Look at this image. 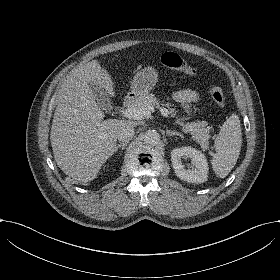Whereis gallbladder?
I'll return each mask as SVG.
<instances>
[{
	"instance_id": "gallbladder-1",
	"label": "gallbladder",
	"mask_w": 280,
	"mask_h": 280,
	"mask_svg": "<svg viewBox=\"0 0 280 280\" xmlns=\"http://www.w3.org/2000/svg\"><path fill=\"white\" fill-rule=\"evenodd\" d=\"M90 91L97 104L106 112L113 114V103L107 92L99 84H90Z\"/></svg>"
}]
</instances>
